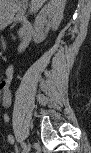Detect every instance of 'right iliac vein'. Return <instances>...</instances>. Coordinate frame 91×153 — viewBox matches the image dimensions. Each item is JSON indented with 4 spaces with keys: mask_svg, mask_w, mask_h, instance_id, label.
<instances>
[{
    "mask_svg": "<svg viewBox=\"0 0 91 153\" xmlns=\"http://www.w3.org/2000/svg\"><path fill=\"white\" fill-rule=\"evenodd\" d=\"M30 150V144H26V146L23 148L24 153H28Z\"/></svg>",
    "mask_w": 91,
    "mask_h": 153,
    "instance_id": "1",
    "label": "right iliac vein"
}]
</instances>
